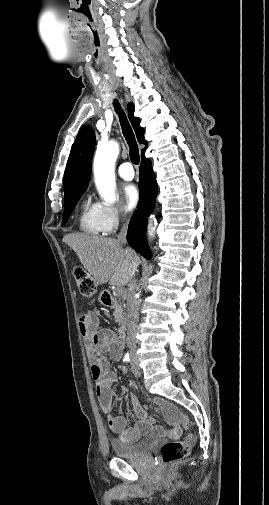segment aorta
Returning a JSON list of instances; mask_svg holds the SVG:
<instances>
[{
	"instance_id": "1",
	"label": "aorta",
	"mask_w": 269,
	"mask_h": 505,
	"mask_svg": "<svg viewBox=\"0 0 269 505\" xmlns=\"http://www.w3.org/2000/svg\"><path fill=\"white\" fill-rule=\"evenodd\" d=\"M119 154V144L116 141H108L98 146L94 158V178L97 190L101 198L107 203L116 201L115 189V162ZM148 225V233L151 237L155 234L157 220L151 217Z\"/></svg>"
}]
</instances>
